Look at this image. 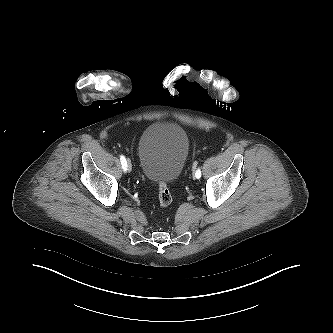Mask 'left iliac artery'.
Masks as SVG:
<instances>
[{"instance_id":"1","label":"left iliac artery","mask_w":333,"mask_h":333,"mask_svg":"<svg viewBox=\"0 0 333 333\" xmlns=\"http://www.w3.org/2000/svg\"><path fill=\"white\" fill-rule=\"evenodd\" d=\"M195 165V164H194ZM195 177L197 178V179H199L200 177H201V170H200V168H198L197 170H196V172H195Z\"/></svg>"}]
</instances>
